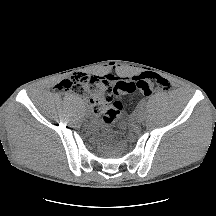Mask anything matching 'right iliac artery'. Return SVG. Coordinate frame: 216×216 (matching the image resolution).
<instances>
[{"label": "right iliac artery", "instance_id": "1", "mask_svg": "<svg viewBox=\"0 0 216 216\" xmlns=\"http://www.w3.org/2000/svg\"><path fill=\"white\" fill-rule=\"evenodd\" d=\"M80 107H81L84 111H87V110H88V107L85 106L83 103L80 105Z\"/></svg>", "mask_w": 216, "mask_h": 216}]
</instances>
